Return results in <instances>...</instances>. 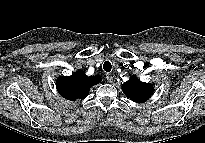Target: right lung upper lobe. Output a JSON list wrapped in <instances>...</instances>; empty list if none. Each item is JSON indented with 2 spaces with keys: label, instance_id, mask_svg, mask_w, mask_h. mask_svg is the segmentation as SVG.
I'll use <instances>...</instances> for the list:
<instances>
[{
  "label": "right lung upper lobe",
  "instance_id": "right-lung-upper-lobe-1",
  "mask_svg": "<svg viewBox=\"0 0 205 143\" xmlns=\"http://www.w3.org/2000/svg\"><path fill=\"white\" fill-rule=\"evenodd\" d=\"M101 81L98 75L87 76L78 70L71 76H62L57 79L56 86L60 95L67 100L84 99L92 86Z\"/></svg>",
  "mask_w": 205,
  "mask_h": 143
}]
</instances>
